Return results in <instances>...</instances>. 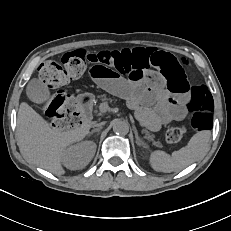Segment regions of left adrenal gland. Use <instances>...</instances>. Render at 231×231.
I'll return each mask as SVG.
<instances>
[{
	"label": "left adrenal gland",
	"mask_w": 231,
	"mask_h": 231,
	"mask_svg": "<svg viewBox=\"0 0 231 231\" xmlns=\"http://www.w3.org/2000/svg\"><path fill=\"white\" fill-rule=\"evenodd\" d=\"M134 132H135V138H136L137 145L146 147V143L142 139H140V137L138 136V132H137L136 129H135Z\"/></svg>",
	"instance_id": "1"
}]
</instances>
